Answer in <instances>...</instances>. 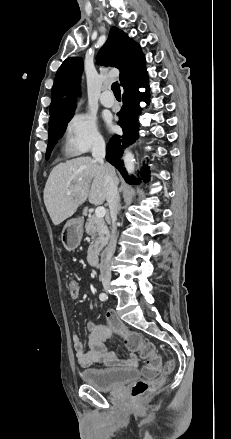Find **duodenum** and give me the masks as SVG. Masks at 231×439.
Wrapping results in <instances>:
<instances>
[{"label":"duodenum","instance_id":"410a0bca","mask_svg":"<svg viewBox=\"0 0 231 439\" xmlns=\"http://www.w3.org/2000/svg\"><path fill=\"white\" fill-rule=\"evenodd\" d=\"M87 261L91 266L98 265V253L95 249H90L87 253Z\"/></svg>","mask_w":231,"mask_h":439}]
</instances>
